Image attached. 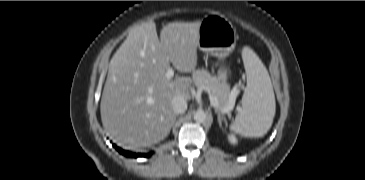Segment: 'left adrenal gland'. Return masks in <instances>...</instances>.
I'll return each instance as SVG.
<instances>
[{
    "mask_svg": "<svg viewBox=\"0 0 365 180\" xmlns=\"http://www.w3.org/2000/svg\"><path fill=\"white\" fill-rule=\"evenodd\" d=\"M215 113L217 114L218 117L219 126L220 128H222V121H224L225 124L227 123L226 118L218 110H215Z\"/></svg>",
    "mask_w": 365,
    "mask_h": 180,
    "instance_id": "a2214340",
    "label": "left adrenal gland"
}]
</instances>
